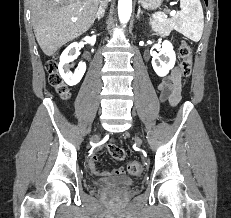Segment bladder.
Returning a JSON list of instances; mask_svg holds the SVG:
<instances>
[{
    "label": "bladder",
    "mask_w": 231,
    "mask_h": 218,
    "mask_svg": "<svg viewBox=\"0 0 231 218\" xmlns=\"http://www.w3.org/2000/svg\"><path fill=\"white\" fill-rule=\"evenodd\" d=\"M99 186L129 188L135 185V180L130 177H118L112 179H102L97 182Z\"/></svg>",
    "instance_id": "31cf9c89"
}]
</instances>
